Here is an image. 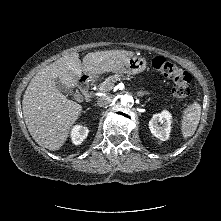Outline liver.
Returning <instances> with one entry per match:
<instances>
[{
	"label": "liver",
	"mask_w": 221,
	"mask_h": 221,
	"mask_svg": "<svg viewBox=\"0 0 221 221\" xmlns=\"http://www.w3.org/2000/svg\"><path fill=\"white\" fill-rule=\"evenodd\" d=\"M134 55L133 51L91 52L83 62L72 52L39 71L30 81L22 101L26 126L36 143L51 151L59 150L82 112V106L69 100L56 87V80L67 90L74 88L82 76H96L115 71Z\"/></svg>",
	"instance_id": "liver-1"
}]
</instances>
